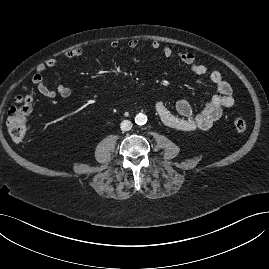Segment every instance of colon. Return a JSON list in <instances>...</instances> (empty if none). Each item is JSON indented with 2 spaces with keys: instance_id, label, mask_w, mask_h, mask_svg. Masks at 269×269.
<instances>
[{
  "instance_id": "5ec220e1",
  "label": "colon",
  "mask_w": 269,
  "mask_h": 269,
  "mask_svg": "<svg viewBox=\"0 0 269 269\" xmlns=\"http://www.w3.org/2000/svg\"><path fill=\"white\" fill-rule=\"evenodd\" d=\"M35 93L25 90L15 99L14 105L8 112L6 127L9 136L14 141H22L28 133L27 118L33 111ZM234 127L237 132L243 133L247 129L246 121L237 117L234 120Z\"/></svg>"
}]
</instances>
